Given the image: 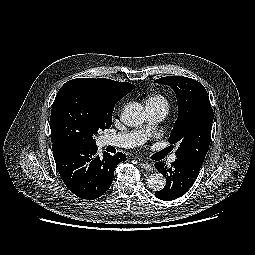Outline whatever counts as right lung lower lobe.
I'll list each match as a JSON object with an SVG mask.
<instances>
[{"label":"right lung lower lobe","mask_w":255,"mask_h":255,"mask_svg":"<svg viewBox=\"0 0 255 255\" xmlns=\"http://www.w3.org/2000/svg\"><path fill=\"white\" fill-rule=\"evenodd\" d=\"M96 145L53 143L52 150L58 172L67 188L82 199L92 200L111 186L116 166L126 160L118 152L114 156L97 155Z\"/></svg>","instance_id":"98d812e1"}]
</instances>
